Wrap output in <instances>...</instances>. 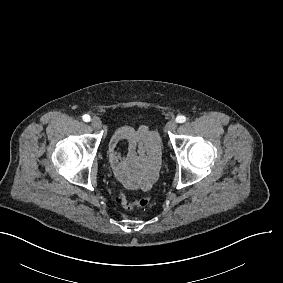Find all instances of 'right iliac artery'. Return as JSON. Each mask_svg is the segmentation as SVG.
<instances>
[{"instance_id":"obj_1","label":"right iliac artery","mask_w":283,"mask_h":283,"mask_svg":"<svg viewBox=\"0 0 283 283\" xmlns=\"http://www.w3.org/2000/svg\"><path fill=\"white\" fill-rule=\"evenodd\" d=\"M83 120H84L85 122H89V121H90V116L87 115V114L83 115Z\"/></svg>"}]
</instances>
